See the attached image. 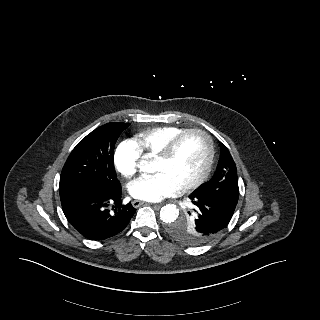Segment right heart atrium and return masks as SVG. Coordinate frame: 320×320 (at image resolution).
<instances>
[{
    "label": "right heart atrium",
    "mask_w": 320,
    "mask_h": 320,
    "mask_svg": "<svg viewBox=\"0 0 320 320\" xmlns=\"http://www.w3.org/2000/svg\"><path fill=\"white\" fill-rule=\"evenodd\" d=\"M141 153L132 140H123L116 148L114 163L117 171L126 178L136 175Z\"/></svg>",
    "instance_id": "obj_1"
}]
</instances>
